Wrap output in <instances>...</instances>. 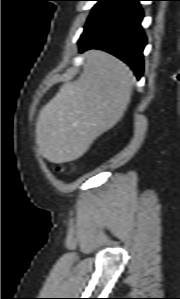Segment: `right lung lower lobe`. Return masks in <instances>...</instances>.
I'll list each match as a JSON object with an SVG mask.
<instances>
[{"label":"right lung lower lobe","instance_id":"1","mask_svg":"<svg viewBox=\"0 0 180 299\" xmlns=\"http://www.w3.org/2000/svg\"><path fill=\"white\" fill-rule=\"evenodd\" d=\"M140 1L108 0L92 13L78 42L80 52L88 49L107 51L127 63L140 79L146 45Z\"/></svg>","mask_w":180,"mask_h":299}]
</instances>
